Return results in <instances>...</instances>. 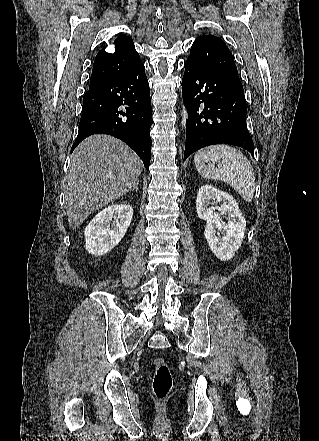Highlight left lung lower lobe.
Listing matches in <instances>:
<instances>
[{
	"label": "left lung lower lobe",
	"mask_w": 319,
	"mask_h": 441,
	"mask_svg": "<svg viewBox=\"0 0 319 441\" xmlns=\"http://www.w3.org/2000/svg\"><path fill=\"white\" fill-rule=\"evenodd\" d=\"M182 97L188 111L184 160L215 144H231L254 152L246 125L243 87L228 76L187 59Z\"/></svg>",
	"instance_id": "left-lung-lower-lobe-1"
}]
</instances>
